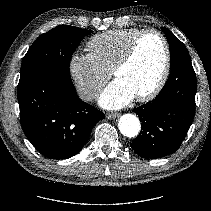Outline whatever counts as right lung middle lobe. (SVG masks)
Wrapping results in <instances>:
<instances>
[{
	"mask_svg": "<svg viewBox=\"0 0 211 211\" xmlns=\"http://www.w3.org/2000/svg\"><path fill=\"white\" fill-rule=\"evenodd\" d=\"M92 31L60 25L39 36L21 64L20 80L41 72L52 71L70 78L69 64L81 40Z\"/></svg>",
	"mask_w": 211,
	"mask_h": 211,
	"instance_id": "1",
	"label": "right lung middle lobe"
}]
</instances>
